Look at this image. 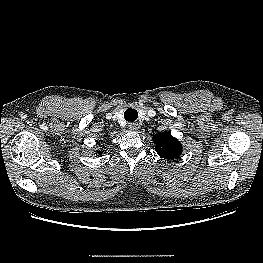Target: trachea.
<instances>
[{"label":"trachea","mask_w":263,"mask_h":263,"mask_svg":"<svg viewBox=\"0 0 263 263\" xmlns=\"http://www.w3.org/2000/svg\"><path fill=\"white\" fill-rule=\"evenodd\" d=\"M138 117V112L134 108H127L124 112V118L128 122H133L137 119Z\"/></svg>","instance_id":"1"}]
</instances>
